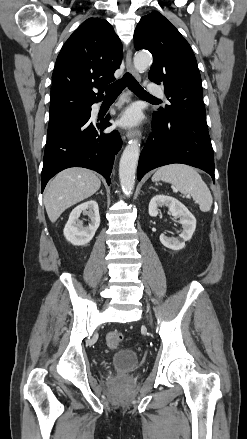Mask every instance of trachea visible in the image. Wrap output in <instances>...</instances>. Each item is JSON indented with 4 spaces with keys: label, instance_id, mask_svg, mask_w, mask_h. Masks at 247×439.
I'll list each match as a JSON object with an SVG mask.
<instances>
[{
    "label": "trachea",
    "instance_id": "3493384b",
    "mask_svg": "<svg viewBox=\"0 0 247 439\" xmlns=\"http://www.w3.org/2000/svg\"><path fill=\"white\" fill-rule=\"evenodd\" d=\"M127 85L129 89L137 96L156 99L146 92L130 73H126L122 79L107 86L106 96H118Z\"/></svg>",
    "mask_w": 247,
    "mask_h": 439
}]
</instances>
